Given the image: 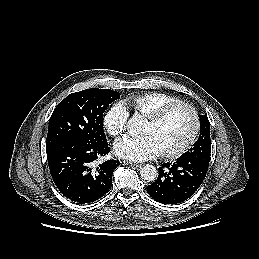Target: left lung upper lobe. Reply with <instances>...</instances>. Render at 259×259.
Masks as SVG:
<instances>
[{
    "instance_id": "left-lung-upper-lobe-1",
    "label": "left lung upper lobe",
    "mask_w": 259,
    "mask_h": 259,
    "mask_svg": "<svg viewBox=\"0 0 259 259\" xmlns=\"http://www.w3.org/2000/svg\"><path fill=\"white\" fill-rule=\"evenodd\" d=\"M200 118V135L194 143L193 148L183 154V156L191 157L195 160L209 164L211 152L210 139V122L206 115H199Z\"/></svg>"
}]
</instances>
